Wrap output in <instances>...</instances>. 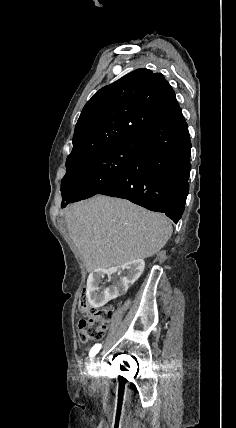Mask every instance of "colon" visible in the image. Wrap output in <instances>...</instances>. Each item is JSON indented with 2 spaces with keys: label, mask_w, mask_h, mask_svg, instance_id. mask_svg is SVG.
Wrapping results in <instances>:
<instances>
[{
  "label": "colon",
  "mask_w": 236,
  "mask_h": 428,
  "mask_svg": "<svg viewBox=\"0 0 236 428\" xmlns=\"http://www.w3.org/2000/svg\"><path fill=\"white\" fill-rule=\"evenodd\" d=\"M79 308L84 318L80 320L78 337L81 342L100 340L112 320L113 310L110 307L95 308L87 301V291L82 289L79 297Z\"/></svg>",
  "instance_id": "colon-1"
}]
</instances>
